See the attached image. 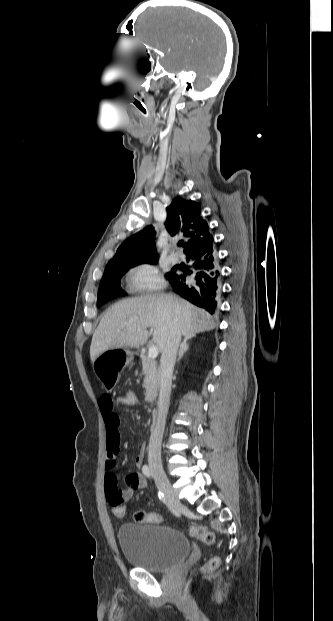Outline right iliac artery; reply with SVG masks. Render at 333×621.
Instances as JSON below:
<instances>
[{
    "mask_svg": "<svg viewBox=\"0 0 333 621\" xmlns=\"http://www.w3.org/2000/svg\"><path fill=\"white\" fill-rule=\"evenodd\" d=\"M142 472H143V474H144L146 477H148V478H150V477H151V471H150V468H149L147 465H143V467H142ZM158 497H159V499H160L161 501H163L164 503H166V498H165V496H164V493H163V492H161L160 490H159V492H158Z\"/></svg>",
    "mask_w": 333,
    "mask_h": 621,
    "instance_id": "right-iliac-artery-1",
    "label": "right iliac artery"
}]
</instances>
